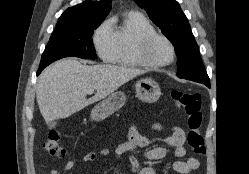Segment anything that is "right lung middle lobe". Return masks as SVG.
Listing matches in <instances>:
<instances>
[{"label":"right lung middle lobe","instance_id":"1","mask_svg":"<svg viewBox=\"0 0 249 174\" xmlns=\"http://www.w3.org/2000/svg\"><path fill=\"white\" fill-rule=\"evenodd\" d=\"M101 22L95 21L73 29L54 31L42 54L39 68L44 69L64 57L96 59L92 35Z\"/></svg>","mask_w":249,"mask_h":174}]
</instances>
